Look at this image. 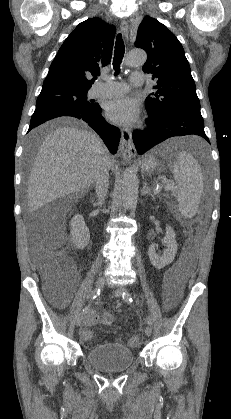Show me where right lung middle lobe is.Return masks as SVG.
I'll list each match as a JSON object with an SVG mask.
<instances>
[{
    "instance_id": "1",
    "label": "right lung middle lobe",
    "mask_w": 231,
    "mask_h": 419,
    "mask_svg": "<svg viewBox=\"0 0 231 419\" xmlns=\"http://www.w3.org/2000/svg\"><path fill=\"white\" fill-rule=\"evenodd\" d=\"M87 89L66 85L42 87L36 106H64L74 109L91 110L96 104L87 100Z\"/></svg>"
}]
</instances>
